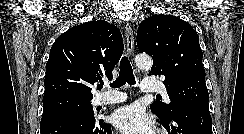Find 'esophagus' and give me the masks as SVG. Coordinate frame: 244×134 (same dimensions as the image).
I'll return each instance as SVG.
<instances>
[{"instance_id": "esophagus-1", "label": "esophagus", "mask_w": 244, "mask_h": 134, "mask_svg": "<svg viewBox=\"0 0 244 134\" xmlns=\"http://www.w3.org/2000/svg\"><path fill=\"white\" fill-rule=\"evenodd\" d=\"M125 35H126L127 55L129 57H132L134 53V34L131 27L128 24L125 25Z\"/></svg>"}]
</instances>
